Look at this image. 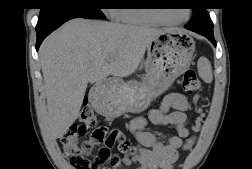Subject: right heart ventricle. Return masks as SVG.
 Returning <instances> with one entry per match:
<instances>
[{
  "instance_id": "e07e8e85",
  "label": "right heart ventricle",
  "mask_w": 252,
  "mask_h": 169,
  "mask_svg": "<svg viewBox=\"0 0 252 169\" xmlns=\"http://www.w3.org/2000/svg\"><path fill=\"white\" fill-rule=\"evenodd\" d=\"M117 20L128 25H157L158 22L150 19L140 9L120 8L116 11Z\"/></svg>"
}]
</instances>
